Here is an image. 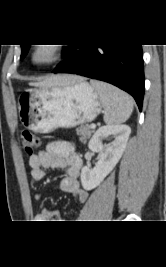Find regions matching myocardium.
Listing matches in <instances>:
<instances>
[{"label": "myocardium", "instance_id": "myocardium-1", "mask_svg": "<svg viewBox=\"0 0 166 267\" xmlns=\"http://www.w3.org/2000/svg\"><path fill=\"white\" fill-rule=\"evenodd\" d=\"M41 52L46 53L44 58L38 56ZM63 54L64 48L59 44H35L31 47L29 61L37 67L49 66L60 61Z\"/></svg>", "mask_w": 166, "mask_h": 267}]
</instances>
